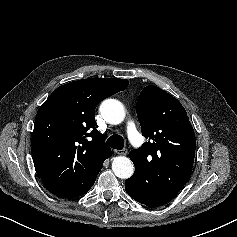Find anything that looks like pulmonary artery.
I'll use <instances>...</instances> for the list:
<instances>
[{"instance_id": "e3ab8cb5", "label": "pulmonary artery", "mask_w": 237, "mask_h": 237, "mask_svg": "<svg viewBox=\"0 0 237 237\" xmlns=\"http://www.w3.org/2000/svg\"><path fill=\"white\" fill-rule=\"evenodd\" d=\"M127 134H128L129 140L131 141V143L133 145L138 146L141 144V137H140L135 125L133 124V122L128 123Z\"/></svg>"}]
</instances>
